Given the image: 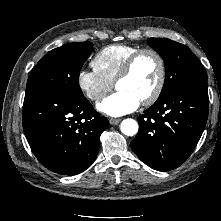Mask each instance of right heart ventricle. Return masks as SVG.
Listing matches in <instances>:
<instances>
[{
	"label": "right heart ventricle",
	"instance_id": "e07e8e85",
	"mask_svg": "<svg viewBox=\"0 0 221 221\" xmlns=\"http://www.w3.org/2000/svg\"><path fill=\"white\" fill-rule=\"evenodd\" d=\"M140 47L131 44H112L102 48L93 58V68L114 83L127 58Z\"/></svg>",
	"mask_w": 221,
	"mask_h": 221
}]
</instances>
